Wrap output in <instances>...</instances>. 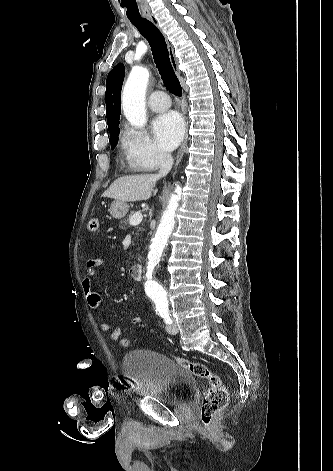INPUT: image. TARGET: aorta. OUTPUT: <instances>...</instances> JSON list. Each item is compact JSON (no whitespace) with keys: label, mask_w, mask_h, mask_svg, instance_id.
Instances as JSON below:
<instances>
[{"label":"aorta","mask_w":333,"mask_h":471,"mask_svg":"<svg viewBox=\"0 0 333 471\" xmlns=\"http://www.w3.org/2000/svg\"><path fill=\"white\" fill-rule=\"evenodd\" d=\"M149 80V71L145 67H133L125 83L122 93V108L128 122L137 128H142L147 122L145 97ZM181 199V187L176 185L171 194L166 210L163 212L160 224L156 230L148 252V280L145 288L156 307H168L167 292L155 280L151 279L154 267L159 263L168 239L175 226V212Z\"/></svg>","instance_id":"762f6f07"}]
</instances>
